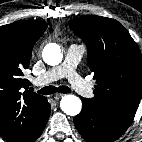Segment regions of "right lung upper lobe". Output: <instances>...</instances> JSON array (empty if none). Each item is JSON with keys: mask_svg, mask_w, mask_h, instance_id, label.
I'll return each instance as SVG.
<instances>
[{"mask_svg": "<svg viewBox=\"0 0 142 142\" xmlns=\"http://www.w3.org/2000/svg\"><path fill=\"white\" fill-rule=\"evenodd\" d=\"M41 20L17 21L0 27V136L25 142L44 117L49 103L30 92L23 72L34 44L46 30Z\"/></svg>", "mask_w": 142, "mask_h": 142, "instance_id": "right-lung-upper-lobe-1", "label": "right lung upper lobe"}]
</instances>
